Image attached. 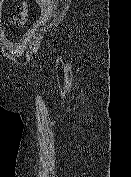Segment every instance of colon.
Here are the masks:
<instances>
[{
  "label": "colon",
  "instance_id": "1",
  "mask_svg": "<svg viewBox=\"0 0 131 177\" xmlns=\"http://www.w3.org/2000/svg\"><path fill=\"white\" fill-rule=\"evenodd\" d=\"M28 16V6L26 0H21L17 12L11 14V22L15 27H21L25 24Z\"/></svg>",
  "mask_w": 131,
  "mask_h": 177
}]
</instances>
